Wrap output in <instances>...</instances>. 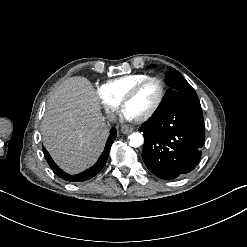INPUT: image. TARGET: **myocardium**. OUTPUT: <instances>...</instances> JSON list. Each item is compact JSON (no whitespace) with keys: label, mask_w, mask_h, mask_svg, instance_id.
<instances>
[{"label":"myocardium","mask_w":247,"mask_h":247,"mask_svg":"<svg viewBox=\"0 0 247 247\" xmlns=\"http://www.w3.org/2000/svg\"><path fill=\"white\" fill-rule=\"evenodd\" d=\"M150 81H154V82L159 84V87H160L159 99H158L156 105L154 106V108L150 112H148L146 115H144L143 117L138 119L139 122H147V121L151 120L160 111V109L164 103L165 97H166V85H165V82L163 81V79L160 77H157V76L145 77L144 79H142L141 81L136 83L131 88V90L119 102L120 107L124 108L127 103H129L130 101H132L136 97L140 88L145 83L150 82Z\"/></svg>","instance_id":"obj_1"}]
</instances>
